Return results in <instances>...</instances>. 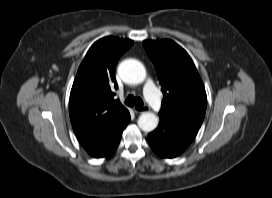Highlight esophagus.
Listing matches in <instances>:
<instances>
[{"mask_svg": "<svg viewBox=\"0 0 272 198\" xmlns=\"http://www.w3.org/2000/svg\"><path fill=\"white\" fill-rule=\"evenodd\" d=\"M135 113H143L149 110L147 106H141V107H134L133 108Z\"/></svg>", "mask_w": 272, "mask_h": 198, "instance_id": "esophagus-1", "label": "esophagus"}]
</instances>
